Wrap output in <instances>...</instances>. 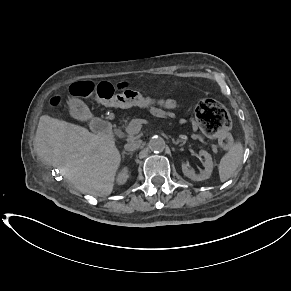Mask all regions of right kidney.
<instances>
[{
    "mask_svg": "<svg viewBox=\"0 0 291 291\" xmlns=\"http://www.w3.org/2000/svg\"><path fill=\"white\" fill-rule=\"evenodd\" d=\"M127 178H128V170L125 167L118 174V177H117L118 184H124L127 181Z\"/></svg>",
    "mask_w": 291,
    "mask_h": 291,
    "instance_id": "1",
    "label": "right kidney"
}]
</instances>
